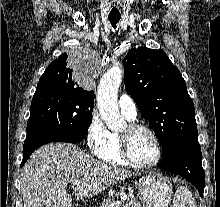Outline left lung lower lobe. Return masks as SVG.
<instances>
[{"label": "left lung lower lobe", "instance_id": "obj_1", "mask_svg": "<svg viewBox=\"0 0 220 207\" xmlns=\"http://www.w3.org/2000/svg\"><path fill=\"white\" fill-rule=\"evenodd\" d=\"M158 166L187 179L203 197L205 175L197 133L182 137L164 149L162 162Z\"/></svg>", "mask_w": 220, "mask_h": 207}]
</instances>
